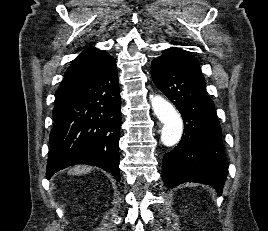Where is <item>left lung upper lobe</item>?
I'll list each match as a JSON object with an SVG mask.
<instances>
[{
  "label": "left lung upper lobe",
  "instance_id": "obj_1",
  "mask_svg": "<svg viewBox=\"0 0 268 231\" xmlns=\"http://www.w3.org/2000/svg\"><path fill=\"white\" fill-rule=\"evenodd\" d=\"M160 57L171 60L177 65L182 66L195 74L203 76L197 59L185 50L173 47L166 49Z\"/></svg>",
  "mask_w": 268,
  "mask_h": 231
}]
</instances>
